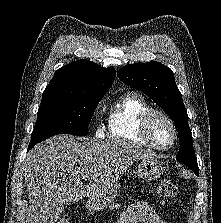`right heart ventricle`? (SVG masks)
<instances>
[{"mask_svg": "<svg viewBox=\"0 0 221 223\" xmlns=\"http://www.w3.org/2000/svg\"><path fill=\"white\" fill-rule=\"evenodd\" d=\"M152 107L139 93L129 92L111 107L106 125L108 139L118 142L145 144L139 134L142 116Z\"/></svg>", "mask_w": 221, "mask_h": 223, "instance_id": "e07e8e85", "label": "right heart ventricle"}]
</instances>
